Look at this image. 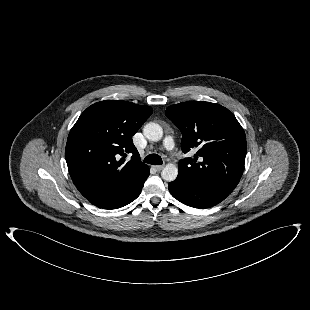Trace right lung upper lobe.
<instances>
[{
  "instance_id": "right-lung-upper-lobe-1",
  "label": "right lung upper lobe",
  "mask_w": 310,
  "mask_h": 310,
  "mask_svg": "<svg viewBox=\"0 0 310 310\" xmlns=\"http://www.w3.org/2000/svg\"><path fill=\"white\" fill-rule=\"evenodd\" d=\"M152 114L150 106L105 100L88 107L72 127L65 156L70 176L91 203L133 193L149 174L132 136ZM131 159L125 162L127 154Z\"/></svg>"
}]
</instances>
